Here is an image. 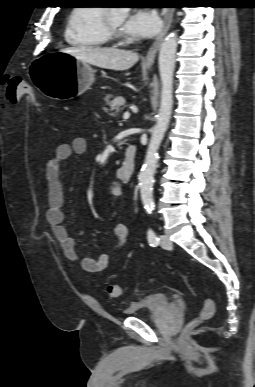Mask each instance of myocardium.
<instances>
[{
    "instance_id": "f54148a6",
    "label": "myocardium",
    "mask_w": 255,
    "mask_h": 387,
    "mask_svg": "<svg viewBox=\"0 0 255 387\" xmlns=\"http://www.w3.org/2000/svg\"><path fill=\"white\" fill-rule=\"evenodd\" d=\"M110 13L109 10H104L102 14L103 31L109 41L121 40L123 38V33L112 24Z\"/></svg>"
}]
</instances>
